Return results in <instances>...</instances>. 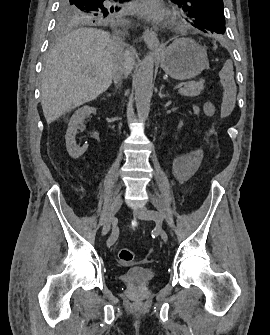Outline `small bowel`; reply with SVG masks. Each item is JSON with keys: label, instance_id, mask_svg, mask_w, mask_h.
<instances>
[{"label": "small bowel", "instance_id": "obj_1", "mask_svg": "<svg viewBox=\"0 0 270 335\" xmlns=\"http://www.w3.org/2000/svg\"><path fill=\"white\" fill-rule=\"evenodd\" d=\"M203 158V151L196 148L187 156L180 158L174 165V174L180 181L185 180L197 170Z\"/></svg>", "mask_w": 270, "mask_h": 335}]
</instances>
